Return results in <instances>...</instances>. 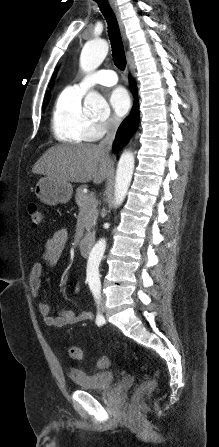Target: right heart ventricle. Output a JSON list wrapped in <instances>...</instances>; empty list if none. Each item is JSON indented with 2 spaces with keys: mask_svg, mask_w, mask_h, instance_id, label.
Segmentation results:
<instances>
[{
  "mask_svg": "<svg viewBox=\"0 0 219 447\" xmlns=\"http://www.w3.org/2000/svg\"><path fill=\"white\" fill-rule=\"evenodd\" d=\"M82 96L72 87H66L58 95L51 116L52 132L58 141L81 144L100 137L97 123L82 109Z\"/></svg>",
  "mask_w": 219,
  "mask_h": 447,
  "instance_id": "1",
  "label": "right heart ventricle"
}]
</instances>
